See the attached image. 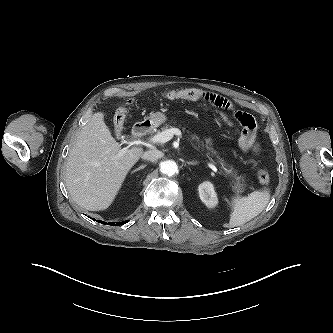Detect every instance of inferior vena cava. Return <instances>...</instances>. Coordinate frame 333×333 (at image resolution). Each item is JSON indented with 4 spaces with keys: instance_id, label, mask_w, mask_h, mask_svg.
<instances>
[{
    "instance_id": "inferior-vena-cava-1",
    "label": "inferior vena cava",
    "mask_w": 333,
    "mask_h": 333,
    "mask_svg": "<svg viewBox=\"0 0 333 333\" xmlns=\"http://www.w3.org/2000/svg\"><path fill=\"white\" fill-rule=\"evenodd\" d=\"M162 157H163V153L159 150H149L142 154V159L150 161V162H155Z\"/></svg>"
}]
</instances>
